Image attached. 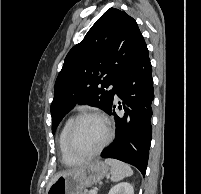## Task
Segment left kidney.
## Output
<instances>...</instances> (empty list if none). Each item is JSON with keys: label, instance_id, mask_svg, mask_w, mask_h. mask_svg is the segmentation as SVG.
<instances>
[{"label": "left kidney", "instance_id": "1", "mask_svg": "<svg viewBox=\"0 0 201 194\" xmlns=\"http://www.w3.org/2000/svg\"><path fill=\"white\" fill-rule=\"evenodd\" d=\"M108 194H134V189L130 183L121 182L114 185Z\"/></svg>", "mask_w": 201, "mask_h": 194}]
</instances>
